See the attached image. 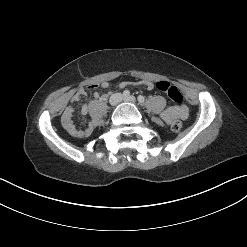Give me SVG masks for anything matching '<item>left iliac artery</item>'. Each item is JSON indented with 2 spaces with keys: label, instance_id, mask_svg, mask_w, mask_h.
<instances>
[{
  "label": "left iliac artery",
  "instance_id": "left-iliac-artery-1",
  "mask_svg": "<svg viewBox=\"0 0 247 247\" xmlns=\"http://www.w3.org/2000/svg\"><path fill=\"white\" fill-rule=\"evenodd\" d=\"M137 99H138L139 103H144V101H145V98L142 95H139Z\"/></svg>",
  "mask_w": 247,
  "mask_h": 247
}]
</instances>
